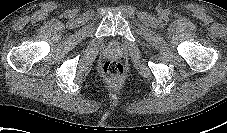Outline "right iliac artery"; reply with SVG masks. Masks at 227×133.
Wrapping results in <instances>:
<instances>
[{"label": "right iliac artery", "instance_id": "82829eb1", "mask_svg": "<svg viewBox=\"0 0 227 133\" xmlns=\"http://www.w3.org/2000/svg\"><path fill=\"white\" fill-rule=\"evenodd\" d=\"M68 14H69V11H66V12H65V15H68Z\"/></svg>", "mask_w": 227, "mask_h": 133}]
</instances>
